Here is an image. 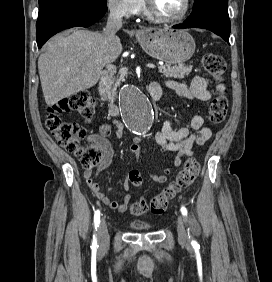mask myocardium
I'll use <instances>...</instances> for the list:
<instances>
[{"label": "myocardium", "instance_id": "myocardium-1", "mask_svg": "<svg viewBox=\"0 0 272 282\" xmlns=\"http://www.w3.org/2000/svg\"><path fill=\"white\" fill-rule=\"evenodd\" d=\"M145 6H146V13L154 18L157 19L159 21L162 22H168V23H175V22H179L183 19H185L190 11L191 8V1L190 0H184V10L177 16H173V17H168L165 16L163 14H161L160 12H158L153 5L151 4L150 0H145Z\"/></svg>", "mask_w": 272, "mask_h": 282}]
</instances>
